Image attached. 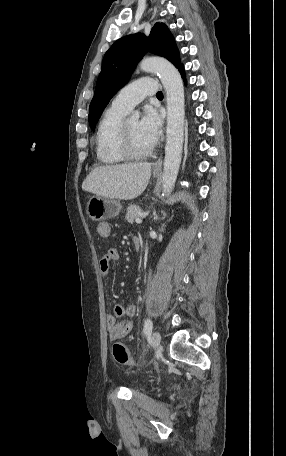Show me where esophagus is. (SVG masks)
Segmentation results:
<instances>
[{
    "label": "esophagus",
    "mask_w": 286,
    "mask_h": 456,
    "mask_svg": "<svg viewBox=\"0 0 286 456\" xmlns=\"http://www.w3.org/2000/svg\"><path fill=\"white\" fill-rule=\"evenodd\" d=\"M162 161H163V155L161 153L160 156L158 157V159L156 160V162L154 163V166H153L154 171H157V172L161 171Z\"/></svg>",
    "instance_id": "1"
}]
</instances>
